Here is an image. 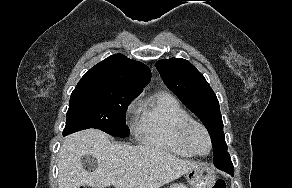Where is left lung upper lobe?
I'll return each instance as SVG.
<instances>
[{"label":"left lung upper lobe","instance_id":"obj_1","mask_svg":"<svg viewBox=\"0 0 292 188\" xmlns=\"http://www.w3.org/2000/svg\"><path fill=\"white\" fill-rule=\"evenodd\" d=\"M156 68L165 85L207 128L213 144L214 165L224 163L230 156L223 133L219 102L204 76L188 60L182 58L159 60ZM225 167L227 170L233 168Z\"/></svg>","mask_w":292,"mask_h":188}]
</instances>
